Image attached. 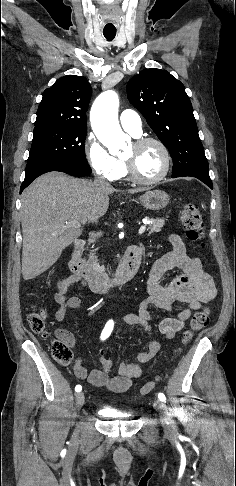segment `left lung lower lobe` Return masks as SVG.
I'll use <instances>...</instances> for the list:
<instances>
[{
    "mask_svg": "<svg viewBox=\"0 0 236 486\" xmlns=\"http://www.w3.org/2000/svg\"><path fill=\"white\" fill-rule=\"evenodd\" d=\"M192 177H195V178L201 180L203 183H205L207 186H209L211 189H213V185H212L211 179H204V178L197 177V176H192ZM172 178H176V177L175 176H172Z\"/></svg>",
    "mask_w": 236,
    "mask_h": 486,
    "instance_id": "0a47b994",
    "label": "left lung lower lobe"
}]
</instances>
